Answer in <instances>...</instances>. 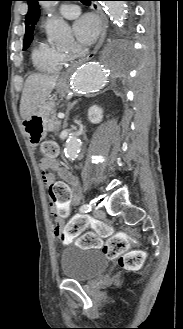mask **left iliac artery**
I'll return each instance as SVG.
<instances>
[{"label": "left iliac artery", "mask_w": 183, "mask_h": 329, "mask_svg": "<svg viewBox=\"0 0 183 329\" xmlns=\"http://www.w3.org/2000/svg\"><path fill=\"white\" fill-rule=\"evenodd\" d=\"M92 210V207L90 204H84L80 207V212L82 213H88V212H91Z\"/></svg>", "instance_id": "44dca946"}]
</instances>
